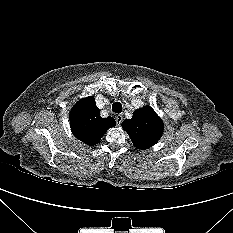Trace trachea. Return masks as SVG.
I'll list each match as a JSON object with an SVG mask.
<instances>
[{
	"mask_svg": "<svg viewBox=\"0 0 233 233\" xmlns=\"http://www.w3.org/2000/svg\"><path fill=\"white\" fill-rule=\"evenodd\" d=\"M112 110L115 113H121L122 112V104L120 102L113 103Z\"/></svg>",
	"mask_w": 233,
	"mask_h": 233,
	"instance_id": "obj_1",
	"label": "trachea"
}]
</instances>
